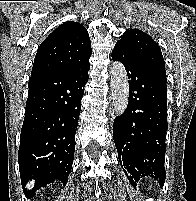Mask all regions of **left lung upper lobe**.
<instances>
[{
    "instance_id": "left-lung-upper-lobe-1",
    "label": "left lung upper lobe",
    "mask_w": 196,
    "mask_h": 201,
    "mask_svg": "<svg viewBox=\"0 0 196 201\" xmlns=\"http://www.w3.org/2000/svg\"><path fill=\"white\" fill-rule=\"evenodd\" d=\"M115 47L120 48L124 54L138 65L166 77L161 50L148 34L138 29H130L121 36Z\"/></svg>"
}]
</instances>
